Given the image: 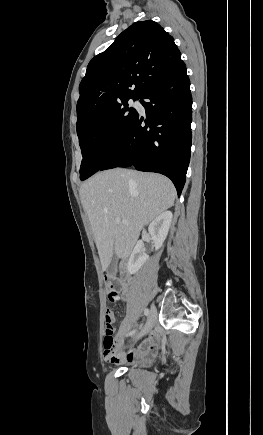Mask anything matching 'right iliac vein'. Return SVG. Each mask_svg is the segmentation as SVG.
I'll return each mask as SVG.
<instances>
[{
	"label": "right iliac vein",
	"instance_id": "right-iliac-vein-1",
	"mask_svg": "<svg viewBox=\"0 0 263 435\" xmlns=\"http://www.w3.org/2000/svg\"><path fill=\"white\" fill-rule=\"evenodd\" d=\"M155 319H156V308L154 305L151 306V313L149 315V318L145 324V326L143 327V329L141 330V332L137 335V339L146 335L153 327L154 323H155Z\"/></svg>",
	"mask_w": 263,
	"mask_h": 435
}]
</instances>
